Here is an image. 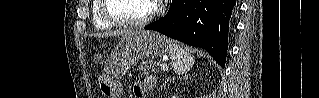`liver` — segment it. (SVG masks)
<instances>
[{
	"instance_id": "6515ba94",
	"label": "liver",
	"mask_w": 319,
	"mask_h": 98,
	"mask_svg": "<svg viewBox=\"0 0 319 98\" xmlns=\"http://www.w3.org/2000/svg\"><path fill=\"white\" fill-rule=\"evenodd\" d=\"M135 31H124V30H118V31H114V32H106V33H102V34H97L98 37H111V36H126L129 35L131 33H133Z\"/></svg>"
}]
</instances>
